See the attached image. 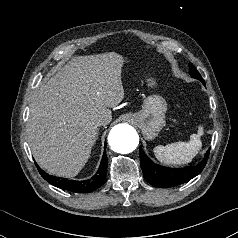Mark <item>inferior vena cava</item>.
Returning <instances> with one entry per match:
<instances>
[{
    "instance_id": "1",
    "label": "inferior vena cava",
    "mask_w": 238,
    "mask_h": 238,
    "mask_svg": "<svg viewBox=\"0 0 238 238\" xmlns=\"http://www.w3.org/2000/svg\"><path fill=\"white\" fill-rule=\"evenodd\" d=\"M106 124V121L105 120H98L97 121V126H101V125H105Z\"/></svg>"
}]
</instances>
